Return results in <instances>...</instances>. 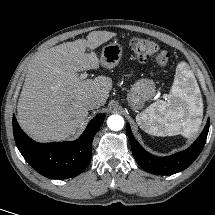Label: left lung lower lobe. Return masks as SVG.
<instances>
[{
	"label": "left lung lower lobe",
	"mask_w": 215,
	"mask_h": 215,
	"mask_svg": "<svg viewBox=\"0 0 215 215\" xmlns=\"http://www.w3.org/2000/svg\"><path fill=\"white\" fill-rule=\"evenodd\" d=\"M210 120L197 140L186 150L167 157H156L146 152L134 138L129 124L126 131L129 137L132 153L137 163L146 171L159 175H171L189 167L200 154L209 131Z\"/></svg>",
	"instance_id": "obj_1"
}]
</instances>
